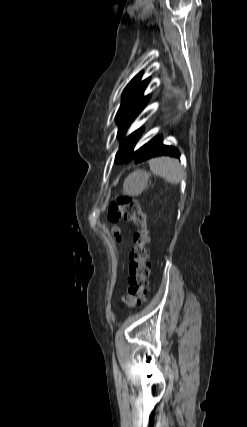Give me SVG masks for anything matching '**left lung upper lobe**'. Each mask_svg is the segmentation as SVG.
<instances>
[{"mask_svg":"<svg viewBox=\"0 0 247 427\" xmlns=\"http://www.w3.org/2000/svg\"><path fill=\"white\" fill-rule=\"evenodd\" d=\"M141 73L138 74L125 88L123 99L120 108L116 114V121L119 124L118 137H122L131 122L142 111L148 102V97H143L142 94L148 85L149 78L140 81ZM142 133V129H138L123 139L119 146V151L116 154L115 162L124 163L132 160L136 155L133 149Z\"/></svg>","mask_w":247,"mask_h":427,"instance_id":"obj_1","label":"left lung upper lobe"}]
</instances>
